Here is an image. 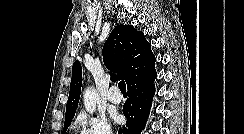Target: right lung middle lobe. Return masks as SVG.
I'll return each mask as SVG.
<instances>
[{"label":"right lung middle lobe","instance_id":"obj_1","mask_svg":"<svg viewBox=\"0 0 244 134\" xmlns=\"http://www.w3.org/2000/svg\"><path fill=\"white\" fill-rule=\"evenodd\" d=\"M74 116H69V117H65V122H64V133L66 132V130L68 129V126L70 125L72 119Z\"/></svg>","mask_w":244,"mask_h":134}]
</instances>
